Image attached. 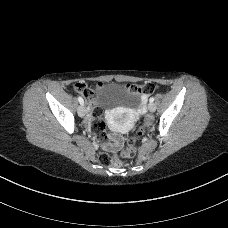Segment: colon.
<instances>
[{
  "instance_id": "1",
  "label": "colon",
  "mask_w": 228,
  "mask_h": 228,
  "mask_svg": "<svg viewBox=\"0 0 228 228\" xmlns=\"http://www.w3.org/2000/svg\"><path fill=\"white\" fill-rule=\"evenodd\" d=\"M75 89L85 97L88 104V115L91 119V129L101 138L104 135L105 122L102 118V109L94 102V90L87 88L84 83H77L75 85ZM131 89L135 90L139 94L149 95L156 90V86L153 83H147L142 86H131ZM149 123V119H145L143 125L137 130V132L133 136L128 139L126 146H124L120 150L119 155L113 154L108 151L102 152L99 157L101 163H103L104 165L119 164L120 158L133 157L136 153L139 139L144 133L145 126Z\"/></svg>"
}]
</instances>
